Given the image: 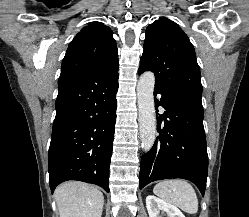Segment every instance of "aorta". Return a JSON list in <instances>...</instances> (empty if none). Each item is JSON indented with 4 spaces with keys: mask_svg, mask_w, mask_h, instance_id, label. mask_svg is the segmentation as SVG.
<instances>
[{
    "mask_svg": "<svg viewBox=\"0 0 249 217\" xmlns=\"http://www.w3.org/2000/svg\"><path fill=\"white\" fill-rule=\"evenodd\" d=\"M155 76L152 72L143 73L137 84V103L139 110V134L141 146L149 151L156 138V116L154 108Z\"/></svg>",
    "mask_w": 249,
    "mask_h": 217,
    "instance_id": "1",
    "label": "aorta"
}]
</instances>
